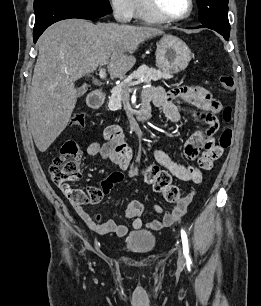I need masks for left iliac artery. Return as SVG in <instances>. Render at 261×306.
I'll list each match as a JSON object with an SVG mask.
<instances>
[{"label": "left iliac artery", "instance_id": "1", "mask_svg": "<svg viewBox=\"0 0 261 306\" xmlns=\"http://www.w3.org/2000/svg\"><path fill=\"white\" fill-rule=\"evenodd\" d=\"M181 239L183 245V254L186 257L187 261H190L188 238L186 232L183 229H181Z\"/></svg>", "mask_w": 261, "mask_h": 306}]
</instances>
